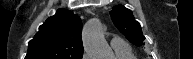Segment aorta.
Listing matches in <instances>:
<instances>
[{"label":"aorta","mask_w":193,"mask_h":59,"mask_svg":"<svg viewBox=\"0 0 193 59\" xmlns=\"http://www.w3.org/2000/svg\"><path fill=\"white\" fill-rule=\"evenodd\" d=\"M84 48L89 57L95 59H112L113 54L104 39L99 20H89L83 30Z\"/></svg>","instance_id":"obj_1"}]
</instances>
